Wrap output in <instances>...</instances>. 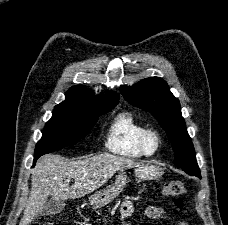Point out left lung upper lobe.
Wrapping results in <instances>:
<instances>
[{"instance_id":"obj_1","label":"left lung upper lobe","mask_w":228,"mask_h":225,"mask_svg":"<svg viewBox=\"0 0 228 225\" xmlns=\"http://www.w3.org/2000/svg\"><path fill=\"white\" fill-rule=\"evenodd\" d=\"M121 92L130 104L150 112L158 120L172 143L175 165L201 178L179 100L170 92L167 83L159 77H150L132 87H121Z\"/></svg>"}]
</instances>
